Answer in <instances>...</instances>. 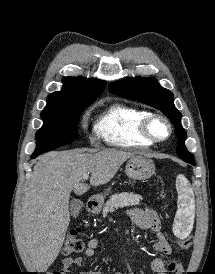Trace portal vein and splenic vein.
Returning a JSON list of instances; mask_svg holds the SVG:
<instances>
[{"label": "portal vein and splenic vein", "mask_w": 215, "mask_h": 274, "mask_svg": "<svg viewBox=\"0 0 215 274\" xmlns=\"http://www.w3.org/2000/svg\"><path fill=\"white\" fill-rule=\"evenodd\" d=\"M88 178H89V173H85V174L83 175V179L86 181V180H88Z\"/></svg>", "instance_id": "portal-vein-and-splenic-vein-1"}]
</instances>
